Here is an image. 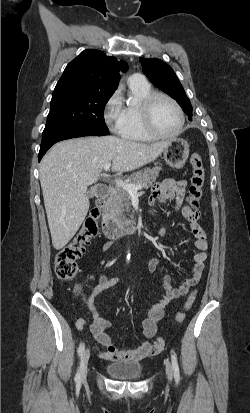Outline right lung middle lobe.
I'll list each match as a JSON object with an SVG mask.
<instances>
[{"label": "right lung middle lobe", "mask_w": 250, "mask_h": 413, "mask_svg": "<svg viewBox=\"0 0 250 413\" xmlns=\"http://www.w3.org/2000/svg\"><path fill=\"white\" fill-rule=\"evenodd\" d=\"M112 94L71 85L56 88L42 141L72 129L109 132L104 121V108Z\"/></svg>", "instance_id": "right-lung-middle-lobe-1"}]
</instances>
